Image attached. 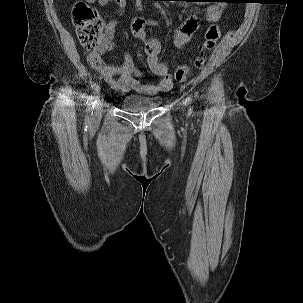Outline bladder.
Returning a JSON list of instances; mask_svg holds the SVG:
<instances>
[{
  "label": "bladder",
  "mask_w": 303,
  "mask_h": 303,
  "mask_svg": "<svg viewBox=\"0 0 303 303\" xmlns=\"http://www.w3.org/2000/svg\"><path fill=\"white\" fill-rule=\"evenodd\" d=\"M163 102L159 94L151 95H126L120 102L121 109L127 112H144L158 108Z\"/></svg>",
  "instance_id": "31cf9c89"
}]
</instances>
